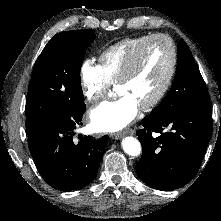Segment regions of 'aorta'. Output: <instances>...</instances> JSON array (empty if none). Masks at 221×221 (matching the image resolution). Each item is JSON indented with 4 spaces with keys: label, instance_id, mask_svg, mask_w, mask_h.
I'll return each mask as SVG.
<instances>
[{
    "label": "aorta",
    "instance_id": "aorta-1",
    "mask_svg": "<svg viewBox=\"0 0 221 221\" xmlns=\"http://www.w3.org/2000/svg\"><path fill=\"white\" fill-rule=\"evenodd\" d=\"M122 148L126 154L129 156H138L141 152V144L140 142L131 136L125 137L122 140Z\"/></svg>",
    "mask_w": 221,
    "mask_h": 221
}]
</instances>
